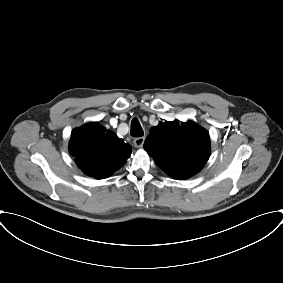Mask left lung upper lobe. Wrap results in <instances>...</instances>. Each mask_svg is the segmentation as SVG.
Here are the masks:
<instances>
[{
	"instance_id": "5c2ea615",
	"label": "left lung upper lobe",
	"mask_w": 283,
	"mask_h": 283,
	"mask_svg": "<svg viewBox=\"0 0 283 283\" xmlns=\"http://www.w3.org/2000/svg\"><path fill=\"white\" fill-rule=\"evenodd\" d=\"M144 148L169 176L187 179L207 162L210 141L207 131L195 123L175 120L151 128Z\"/></svg>"
}]
</instances>
